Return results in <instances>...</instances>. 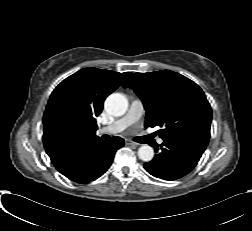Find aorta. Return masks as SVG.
Segmentation results:
<instances>
[{
  "mask_svg": "<svg viewBox=\"0 0 252 231\" xmlns=\"http://www.w3.org/2000/svg\"><path fill=\"white\" fill-rule=\"evenodd\" d=\"M104 108L109 115L119 117L125 114L128 101L123 94L113 93L106 98ZM138 157L144 162H149L154 157V149L149 145H142L138 149Z\"/></svg>",
  "mask_w": 252,
  "mask_h": 231,
  "instance_id": "762f6f07",
  "label": "aorta"
}]
</instances>
